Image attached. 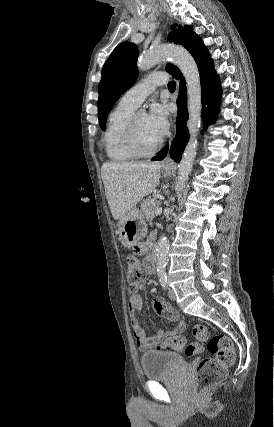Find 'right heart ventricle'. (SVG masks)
Listing matches in <instances>:
<instances>
[{
    "instance_id": "1",
    "label": "right heart ventricle",
    "mask_w": 274,
    "mask_h": 427,
    "mask_svg": "<svg viewBox=\"0 0 274 427\" xmlns=\"http://www.w3.org/2000/svg\"><path fill=\"white\" fill-rule=\"evenodd\" d=\"M135 109L118 104L110 116L107 131L104 134L106 157L116 163H128L135 160L126 144V131Z\"/></svg>"
}]
</instances>
